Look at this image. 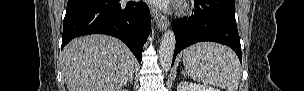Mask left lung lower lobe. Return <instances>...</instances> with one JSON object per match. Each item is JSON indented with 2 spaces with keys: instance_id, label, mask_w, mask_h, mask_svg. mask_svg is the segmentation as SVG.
<instances>
[{
  "instance_id": "0a47b994",
  "label": "left lung lower lobe",
  "mask_w": 304,
  "mask_h": 91,
  "mask_svg": "<svg viewBox=\"0 0 304 91\" xmlns=\"http://www.w3.org/2000/svg\"><path fill=\"white\" fill-rule=\"evenodd\" d=\"M235 0H194L192 15L172 22L176 37L173 62L178 52L197 42L213 41L232 48L242 63Z\"/></svg>"
}]
</instances>
